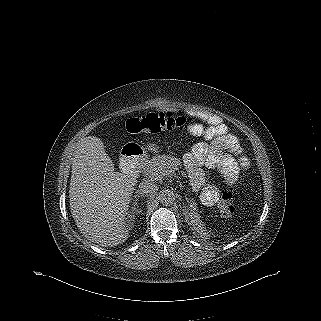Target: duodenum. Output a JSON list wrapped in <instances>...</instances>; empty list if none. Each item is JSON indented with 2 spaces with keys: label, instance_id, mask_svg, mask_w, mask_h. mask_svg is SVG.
Here are the masks:
<instances>
[{
  "label": "duodenum",
  "instance_id": "obj_1",
  "mask_svg": "<svg viewBox=\"0 0 321 321\" xmlns=\"http://www.w3.org/2000/svg\"><path fill=\"white\" fill-rule=\"evenodd\" d=\"M136 156L133 155H123L121 156V169L122 170H129V164L131 161H134Z\"/></svg>",
  "mask_w": 321,
  "mask_h": 321
}]
</instances>
